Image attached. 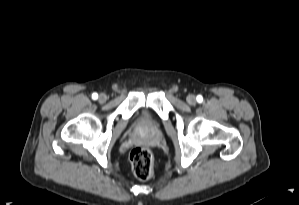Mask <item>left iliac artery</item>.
Instances as JSON below:
<instances>
[{
  "instance_id": "obj_1",
  "label": "left iliac artery",
  "mask_w": 299,
  "mask_h": 205,
  "mask_svg": "<svg viewBox=\"0 0 299 205\" xmlns=\"http://www.w3.org/2000/svg\"><path fill=\"white\" fill-rule=\"evenodd\" d=\"M196 99H197L198 102H202V100H203L201 95H198Z\"/></svg>"
}]
</instances>
